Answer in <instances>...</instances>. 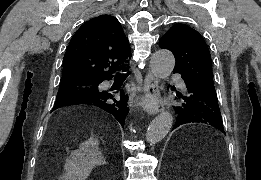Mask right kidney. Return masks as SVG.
I'll use <instances>...</instances> for the list:
<instances>
[{"label":"right kidney","instance_id":"ca27d5eb","mask_svg":"<svg viewBox=\"0 0 261 180\" xmlns=\"http://www.w3.org/2000/svg\"><path fill=\"white\" fill-rule=\"evenodd\" d=\"M98 146L96 138H89L81 144L79 150L71 152L65 164V180H85L94 166L106 164Z\"/></svg>","mask_w":261,"mask_h":180}]
</instances>
